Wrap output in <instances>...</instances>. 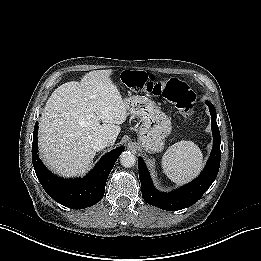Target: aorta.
Masks as SVG:
<instances>
[{
  "label": "aorta",
  "mask_w": 261,
  "mask_h": 261,
  "mask_svg": "<svg viewBox=\"0 0 261 261\" xmlns=\"http://www.w3.org/2000/svg\"><path fill=\"white\" fill-rule=\"evenodd\" d=\"M120 163L125 168H131L136 164V156L131 151H124L120 155Z\"/></svg>",
  "instance_id": "762f6f07"
}]
</instances>
